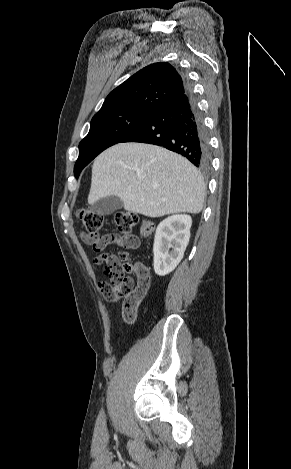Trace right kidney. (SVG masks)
<instances>
[{"instance_id":"ca27d5eb","label":"right kidney","mask_w":291,"mask_h":469,"mask_svg":"<svg viewBox=\"0 0 291 469\" xmlns=\"http://www.w3.org/2000/svg\"><path fill=\"white\" fill-rule=\"evenodd\" d=\"M191 225L192 219L188 215H172L160 222L153 245L157 275L169 274L180 263L189 243Z\"/></svg>"}]
</instances>
